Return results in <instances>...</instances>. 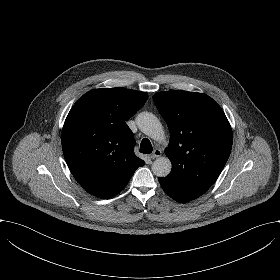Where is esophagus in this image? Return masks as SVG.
Returning <instances> with one entry per match:
<instances>
[{"mask_svg": "<svg viewBox=\"0 0 280 280\" xmlns=\"http://www.w3.org/2000/svg\"><path fill=\"white\" fill-rule=\"evenodd\" d=\"M162 152L159 148H156L153 153L150 155L151 159H157L161 156Z\"/></svg>", "mask_w": 280, "mask_h": 280, "instance_id": "1", "label": "esophagus"}]
</instances>
